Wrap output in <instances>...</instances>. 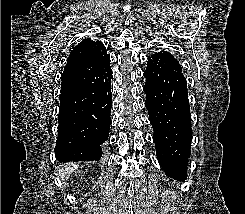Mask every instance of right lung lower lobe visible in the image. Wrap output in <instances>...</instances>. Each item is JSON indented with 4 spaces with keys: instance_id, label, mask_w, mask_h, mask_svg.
I'll list each match as a JSON object with an SVG mask.
<instances>
[{
    "instance_id": "obj_1",
    "label": "right lung lower lobe",
    "mask_w": 245,
    "mask_h": 214,
    "mask_svg": "<svg viewBox=\"0 0 245 214\" xmlns=\"http://www.w3.org/2000/svg\"><path fill=\"white\" fill-rule=\"evenodd\" d=\"M77 56L68 58L62 75L58 138L55 154L59 162L97 161L101 144L109 135L112 107L110 57L104 62L95 81L81 86Z\"/></svg>"
}]
</instances>
